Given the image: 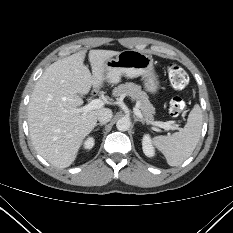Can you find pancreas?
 Instances as JSON below:
<instances>
[{"instance_id":"1","label":"pancreas","mask_w":233,"mask_h":233,"mask_svg":"<svg viewBox=\"0 0 233 233\" xmlns=\"http://www.w3.org/2000/svg\"><path fill=\"white\" fill-rule=\"evenodd\" d=\"M113 95L120 97L130 96L137 102V106L139 107L143 118L147 121L154 120L153 114L155 113V108L149 101L147 94L141 90L139 85L131 82L120 84L113 90Z\"/></svg>"}]
</instances>
